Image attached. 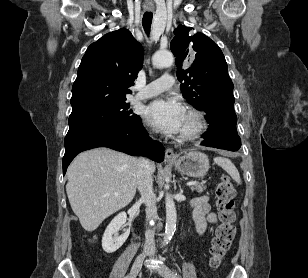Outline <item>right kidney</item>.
I'll return each mask as SVG.
<instances>
[{
	"mask_svg": "<svg viewBox=\"0 0 308 278\" xmlns=\"http://www.w3.org/2000/svg\"><path fill=\"white\" fill-rule=\"evenodd\" d=\"M127 221L126 213H119L107 226L102 237V248L106 253H113L118 250L127 240L130 228L124 234L118 235V231ZM114 236V237H113Z\"/></svg>",
	"mask_w": 308,
	"mask_h": 278,
	"instance_id": "ca27d5eb",
	"label": "right kidney"
}]
</instances>
